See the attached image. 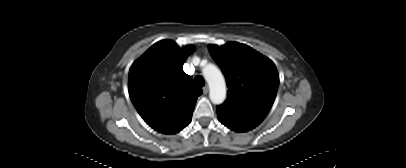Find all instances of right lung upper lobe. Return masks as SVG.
<instances>
[{"instance_id":"obj_1","label":"right lung upper lobe","mask_w":406,"mask_h":168,"mask_svg":"<svg viewBox=\"0 0 406 168\" xmlns=\"http://www.w3.org/2000/svg\"><path fill=\"white\" fill-rule=\"evenodd\" d=\"M193 51L192 45L180 49L173 41L162 40L130 68V98L144 121L161 133L173 134L186 127L202 94L182 69Z\"/></svg>"}]
</instances>
